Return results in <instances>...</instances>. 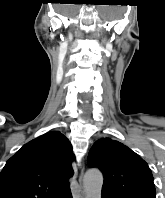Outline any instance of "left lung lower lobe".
I'll list each match as a JSON object with an SVG mask.
<instances>
[{
  "label": "left lung lower lobe",
  "instance_id": "0a47b994",
  "mask_svg": "<svg viewBox=\"0 0 165 198\" xmlns=\"http://www.w3.org/2000/svg\"><path fill=\"white\" fill-rule=\"evenodd\" d=\"M102 198H119L114 192L102 189Z\"/></svg>",
  "mask_w": 165,
  "mask_h": 198
}]
</instances>
